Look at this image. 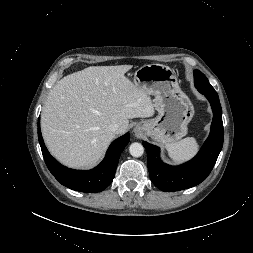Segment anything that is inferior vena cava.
<instances>
[{"instance_id":"inferior-vena-cava-1","label":"inferior vena cava","mask_w":253,"mask_h":253,"mask_svg":"<svg viewBox=\"0 0 253 253\" xmlns=\"http://www.w3.org/2000/svg\"><path fill=\"white\" fill-rule=\"evenodd\" d=\"M108 129L113 133H117L119 130V125L116 123H112L108 126Z\"/></svg>"}]
</instances>
